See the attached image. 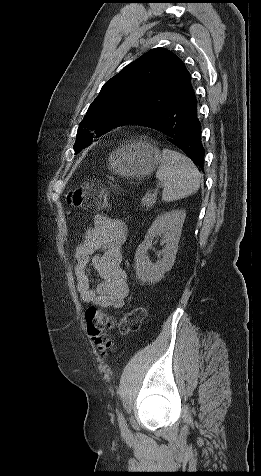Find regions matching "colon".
<instances>
[{"label":"colon","mask_w":261,"mask_h":476,"mask_svg":"<svg viewBox=\"0 0 261 476\" xmlns=\"http://www.w3.org/2000/svg\"><path fill=\"white\" fill-rule=\"evenodd\" d=\"M67 203L73 207L85 210H101L108 204V195L105 187L98 182H85L66 195ZM145 317L142 307H135L122 318L115 320L104 313L99 307L91 306L85 312L87 333L99 350L106 355L114 343L108 335V330L117 328L120 333L127 334L135 331Z\"/></svg>","instance_id":"5ec220e1"}]
</instances>
